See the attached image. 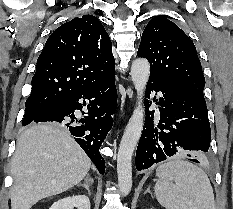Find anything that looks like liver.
Returning a JSON list of instances; mask_svg holds the SVG:
<instances>
[{
    "label": "liver",
    "instance_id": "1",
    "mask_svg": "<svg viewBox=\"0 0 233 209\" xmlns=\"http://www.w3.org/2000/svg\"><path fill=\"white\" fill-rule=\"evenodd\" d=\"M90 167V159L65 128L31 126L18 138L12 159L11 209H31L41 199L69 190Z\"/></svg>",
    "mask_w": 233,
    "mask_h": 209
}]
</instances>
